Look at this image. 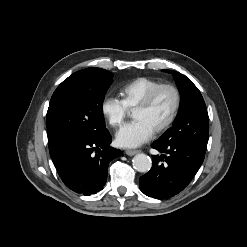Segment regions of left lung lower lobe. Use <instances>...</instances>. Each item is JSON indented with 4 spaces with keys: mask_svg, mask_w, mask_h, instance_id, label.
I'll list each match as a JSON object with an SVG mask.
<instances>
[{
    "mask_svg": "<svg viewBox=\"0 0 247 247\" xmlns=\"http://www.w3.org/2000/svg\"><path fill=\"white\" fill-rule=\"evenodd\" d=\"M152 148L163 154L153 156L151 170L140 177V189L145 195L158 199L169 198L182 191L202 165L206 152V147L189 140H156Z\"/></svg>",
    "mask_w": 247,
    "mask_h": 247,
    "instance_id": "0a47b994",
    "label": "left lung lower lobe"
}]
</instances>
